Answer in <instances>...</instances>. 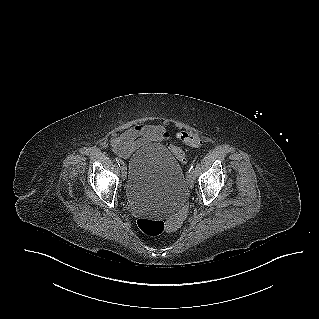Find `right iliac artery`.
I'll return each mask as SVG.
<instances>
[{"label": "right iliac artery", "mask_w": 319, "mask_h": 319, "mask_svg": "<svg viewBox=\"0 0 319 319\" xmlns=\"http://www.w3.org/2000/svg\"><path fill=\"white\" fill-rule=\"evenodd\" d=\"M115 161L117 162V164L119 165V167L122 168L124 162H123L120 158H118V157H115Z\"/></svg>", "instance_id": "82829eb1"}]
</instances>
